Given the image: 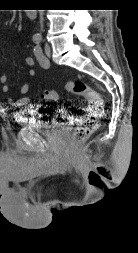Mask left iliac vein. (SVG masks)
Masks as SVG:
<instances>
[{"instance_id": "obj_1", "label": "left iliac vein", "mask_w": 138, "mask_h": 253, "mask_svg": "<svg viewBox=\"0 0 138 253\" xmlns=\"http://www.w3.org/2000/svg\"><path fill=\"white\" fill-rule=\"evenodd\" d=\"M45 54H46L47 57H49V56L51 55L50 46L47 45V44H46V46H45ZM48 66H49V64H48ZM48 66H47V67H48Z\"/></svg>"}]
</instances>
